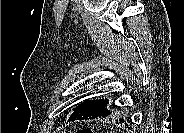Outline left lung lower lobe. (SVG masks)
I'll use <instances>...</instances> for the list:
<instances>
[{"instance_id": "1", "label": "left lung lower lobe", "mask_w": 184, "mask_h": 133, "mask_svg": "<svg viewBox=\"0 0 184 133\" xmlns=\"http://www.w3.org/2000/svg\"><path fill=\"white\" fill-rule=\"evenodd\" d=\"M108 103L107 99L85 100L73 110V113L68 121L94 119L97 117H106L115 114L118 106L115 104L107 105ZM119 122L124 123L125 127H128L130 124L129 118L126 116L120 118Z\"/></svg>"}]
</instances>
